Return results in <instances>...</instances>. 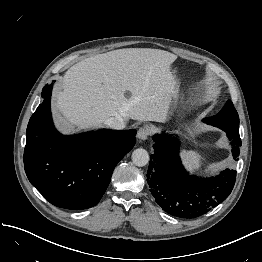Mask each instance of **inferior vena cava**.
I'll use <instances>...</instances> for the list:
<instances>
[{"instance_id": "1", "label": "inferior vena cava", "mask_w": 262, "mask_h": 262, "mask_svg": "<svg viewBox=\"0 0 262 262\" xmlns=\"http://www.w3.org/2000/svg\"><path fill=\"white\" fill-rule=\"evenodd\" d=\"M105 124L112 129L121 130L126 127L127 121L122 116L118 115L107 119Z\"/></svg>"}]
</instances>
